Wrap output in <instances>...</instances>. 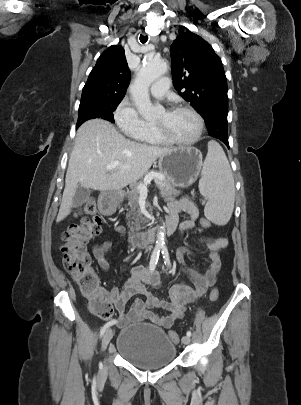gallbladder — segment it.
Returning a JSON list of instances; mask_svg holds the SVG:
<instances>
[{
    "label": "gallbladder",
    "instance_id": "1",
    "mask_svg": "<svg viewBox=\"0 0 301 405\" xmlns=\"http://www.w3.org/2000/svg\"><path fill=\"white\" fill-rule=\"evenodd\" d=\"M90 194L91 190L89 188H84L79 185L73 197V207L82 206L89 199Z\"/></svg>",
    "mask_w": 301,
    "mask_h": 405
}]
</instances>
